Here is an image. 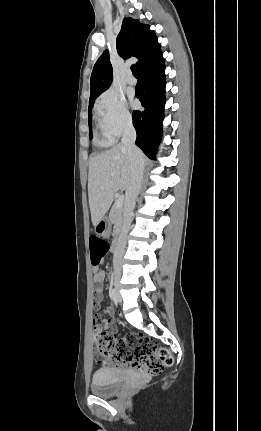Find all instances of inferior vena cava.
<instances>
[{"label": "inferior vena cava", "mask_w": 261, "mask_h": 431, "mask_svg": "<svg viewBox=\"0 0 261 431\" xmlns=\"http://www.w3.org/2000/svg\"><path fill=\"white\" fill-rule=\"evenodd\" d=\"M135 140L136 131L133 127L132 122L129 121L126 123L123 131L122 145L127 149V152L129 154L132 166V176L130 186L127 189L125 195L123 225L114 253V274L117 277L121 276V264L119 263V261L121 260L125 252L127 236L131 228L133 209L135 207L136 198L139 195L143 180L144 163L140 156V150L135 145Z\"/></svg>", "instance_id": "602c4592"}]
</instances>
